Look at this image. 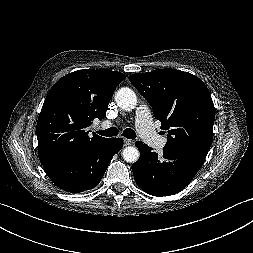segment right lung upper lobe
<instances>
[{"label": "right lung upper lobe", "mask_w": 253, "mask_h": 253, "mask_svg": "<svg viewBox=\"0 0 253 253\" xmlns=\"http://www.w3.org/2000/svg\"><path fill=\"white\" fill-rule=\"evenodd\" d=\"M126 76L109 69L77 70L60 78L42 106L36 134L41 162L70 151L84 150L107 138L87 127L103 119L117 85Z\"/></svg>", "instance_id": "obj_1"}]
</instances>
